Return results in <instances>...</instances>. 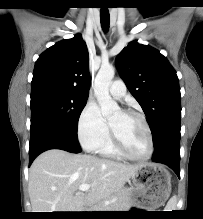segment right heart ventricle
Instances as JSON below:
<instances>
[{"mask_svg":"<svg viewBox=\"0 0 203 219\" xmlns=\"http://www.w3.org/2000/svg\"><path fill=\"white\" fill-rule=\"evenodd\" d=\"M101 155L113 158H120L122 155L115 148L110 135L105 139L102 145L97 150Z\"/></svg>","mask_w":203,"mask_h":219,"instance_id":"obj_1","label":"right heart ventricle"}]
</instances>
